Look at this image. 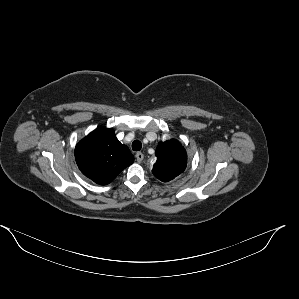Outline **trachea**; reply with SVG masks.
Masks as SVG:
<instances>
[{
	"label": "trachea",
	"instance_id": "3493384b",
	"mask_svg": "<svg viewBox=\"0 0 299 299\" xmlns=\"http://www.w3.org/2000/svg\"><path fill=\"white\" fill-rule=\"evenodd\" d=\"M142 148V143L139 140H135L132 143V149L133 151H139Z\"/></svg>",
	"mask_w": 299,
	"mask_h": 299
}]
</instances>
